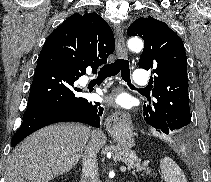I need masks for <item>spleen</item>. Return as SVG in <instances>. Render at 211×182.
<instances>
[{
	"label": "spleen",
	"instance_id": "obj_1",
	"mask_svg": "<svg viewBox=\"0 0 211 182\" xmlns=\"http://www.w3.org/2000/svg\"><path fill=\"white\" fill-rule=\"evenodd\" d=\"M160 170L166 182H187L181 168L168 156L160 161Z\"/></svg>",
	"mask_w": 211,
	"mask_h": 182
}]
</instances>
